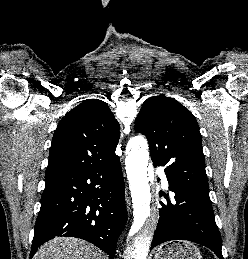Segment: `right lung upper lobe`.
<instances>
[{"label":"right lung upper lobe","instance_id":"obj_1","mask_svg":"<svg viewBox=\"0 0 248 259\" xmlns=\"http://www.w3.org/2000/svg\"><path fill=\"white\" fill-rule=\"evenodd\" d=\"M119 130L105 102H82L66 113L54 132L45 179L106 164L116 155Z\"/></svg>","mask_w":248,"mask_h":259}]
</instances>
